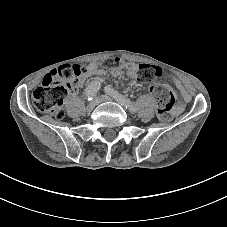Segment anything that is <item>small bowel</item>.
<instances>
[{
	"mask_svg": "<svg viewBox=\"0 0 227 227\" xmlns=\"http://www.w3.org/2000/svg\"><path fill=\"white\" fill-rule=\"evenodd\" d=\"M137 67L138 64L135 63H131V62H126V72L129 76L133 77V78H137ZM105 74V71L101 68V64L99 63H92L89 65L88 70H87V76H102ZM113 74L115 75H120L121 73L118 71L113 70ZM173 81L176 85V87L179 89V91L181 92V95L183 97V100L186 102L189 100V95L185 92L181 82L177 79V78H173ZM175 112H179V109L177 108L175 110Z\"/></svg>",
	"mask_w": 227,
	"mask_h": 227,
	"instance_id": "obj_1",
	"label": "small bowel"
}]
</instances>
